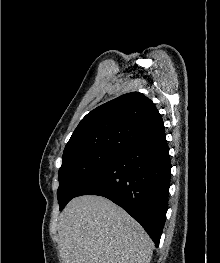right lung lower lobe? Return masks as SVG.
Instances as JSON below:
<instances>
[{"mask_svg":"<svg viewBox=\"0 0 220 263\" xmlns=\"http://www.w3.org/2000/svg\"><path fill=\"white\" fill-rule=\"evenodd\" d=\"M171 161L165 133L125 148L75 195H99L137 220L158 247L168 208Z\"/></svg>","mask_w":220,"mask_h":263,"instance_id":"obj_1","label":"right lung lower lobe"}]
</instances>
